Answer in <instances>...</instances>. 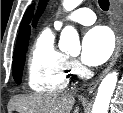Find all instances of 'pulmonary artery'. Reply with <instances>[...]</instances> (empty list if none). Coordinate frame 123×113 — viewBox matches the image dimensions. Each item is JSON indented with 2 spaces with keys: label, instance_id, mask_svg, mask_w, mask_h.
Masks as SVG:
<instances>
[{
  "label": "pulmonary artery",
  "instance_id": "e3ab8cb5",
  "mask_svg": "<svg viewBox=\"0 0 123 113\" xmlns=\"http://www.w3.org/2000/svg\"><path fill=\"white\" fill-rule=\"evenodd\" d=\"M95 20L96 16L92 10L89 8H77L66 17L56 21L54 26L56 29H59L68 22H76L82 25H91L95 22Z\"/></svg>",
  "mask_w": 123,
  "mask_h": 113
}]
</instances>
